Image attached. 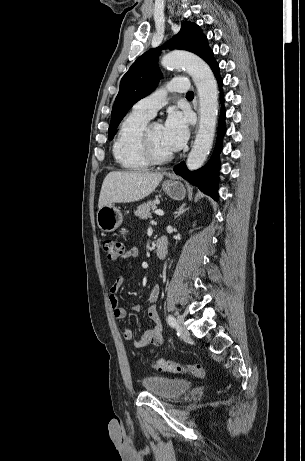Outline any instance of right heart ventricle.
<instances>
[{"label": "right heart ventricle", "mask_w": 305, "mask_h": 461, "mask_svg": "<svg viewBox=\"0 0 305 461\" xmlns=\"http://www.w3.org/2000/svg\"><path fill=\"white\" fill-rule=\"evenodd\" d=\"M149 119L133 110L122 121L113 144L114 158L122 168L139 171L150 165L141 148L142 132Z\"/></svg>", "instance_id": "1"}]
</instances>
